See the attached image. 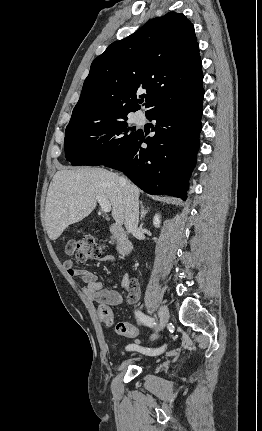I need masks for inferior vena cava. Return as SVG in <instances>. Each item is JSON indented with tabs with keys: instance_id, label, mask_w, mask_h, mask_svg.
I'll return each instance as SVG.
<instances>
[{
	"instance_id": "602c4592",
	"label": "inferior vena cava",
	"mask_w": 262,
	"mask_h": 431,
	"mask_svg": "<svg viewBox=\"0 0 262 431\" xmlns=\"http://www.w3.org/2000/svg\"><path fill=\"white\" fill-rule=\"evenodd\" d=\"M120 183L124 186L126 192V198L124 202V224L129 232L137 230L139 222V201L131 191L129 182L124 178L120 177Z\"/></svg>"
}]
</instances>
